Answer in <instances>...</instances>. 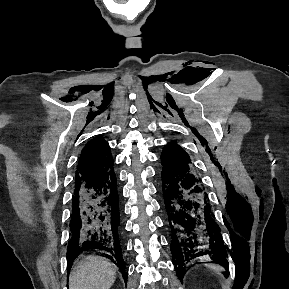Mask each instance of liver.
<instances>
[{"mask_svg": "<svg viewBox=\"0 0 289 289\" xmlns=\"http://www.w3.org/2000/svg\"><path fill=\"white\" fill-rule=\"evenodd\" d=\"M116 278V267L106 258L88 256L77 262L69 277V289H109Z\"/></svg>", "mask_w": 289, "mask_h": 289, "instance_id": "liver-1", "label": "liver"}]
</instances>
